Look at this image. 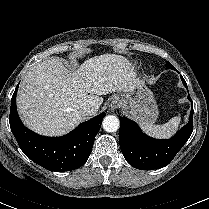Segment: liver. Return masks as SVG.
<instances>
[{"label":"liver","instance_id":"obj_1","mask_svg":"<svg viewBox=\"0 0 209 209\" xmlns=\"http://www.w3.org/2000/svg\"><path fill=\"white\" fill-rule=\"evenodd\" d=\"M141 81L121 55L94 56L72 72L58 57L31 67L20 83L17 109L24 125L44 136H60L89 118L102 95L129 92Z\"/></svg>","mask_w":209,"mask_h":209}]
</instances>
